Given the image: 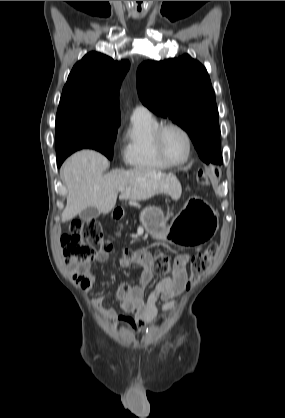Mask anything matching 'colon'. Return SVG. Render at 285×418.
Wrapping results in <instances>:
<instances>
[{
    "instance_id": "5ec220e1",
    "label": "colon",
    "mask_w": 285,
    "mask_h": 418,
    "mask_svg": "<svg viewBox=\"0 0 285 418\" xmlns=\"http://www.w3.org/2000/svg\"><path fill=\"white\" fill-rule=\"evenodd\" d=\"M220 171L217 168H201L199 170L198 180L201 184L207 185L214 176H219ZM105 236L101 226L96 222H81L73 219L70 223V230L61 236L64 255L68 261L77 262L82 265L91 263L97 250L104 244ZM218 251V245L212 243L203 251L196 254L191 262V277L189 283L193 285L196 279L205 272L211 261L215 258ZM130 258V256H127ZM155 269L160 274H167L171 271V264L166 257H159L155 264ZM73 278L76 284L83 288L91 286V278L86 271H73Z\"/></svg>"
}]
</instances>
